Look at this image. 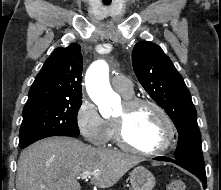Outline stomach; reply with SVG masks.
<instances>
[{"label":"stomach","mask_w":221,"mask_h":190,"mask_svg":"<svg viewBox=\"0 0 221 190\" xmlns=\"http://www.w3.org/2000/svg\"><path fill=\"white\" fill-rule=\"evenodd\" d=\"M130 183L133 190H152L156 180L148 169L137 166L130 173Z\"/></svg>","instance_id":"0dacf381"}]
</instances>
